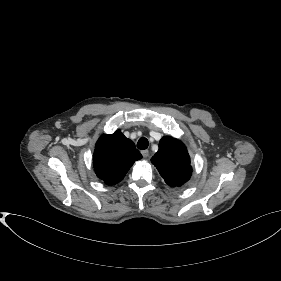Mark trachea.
Listing matches in <instances>:
<instances>
[{
    "instance_id": "trachea-1",
    "label": "trachea",
    "mask_w": 281,
    "mask_h": 281,
    "mask_svg": "<svg viewBox=\"0 0 281 281\" xmlns=\"http://www.w3.org/2000/svg\"><path fill=\"white\" fill-rule=\"evenodd\" d=\"M148 140L145 137H141L137 142V148L144 150L148 148Z\"/></svg>"
}]
</instances>
